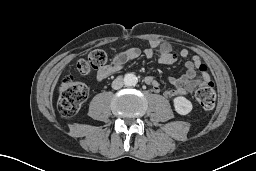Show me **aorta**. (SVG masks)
<instances>
[{"label":"aorta","instance_id":"obj_1","mask_svg":"<svg viewBox=\"0 0 256 171\" xmlns=\"http://www.w3.org/2000/svg\"><path fill=\"white\" fill-rule=\"evenodd\" d=\"M123 81L126 86H135L138 82L136 75L133 73H127Z\"/></svg>","mask_w":256,"mask_h":171}]
</instances>
